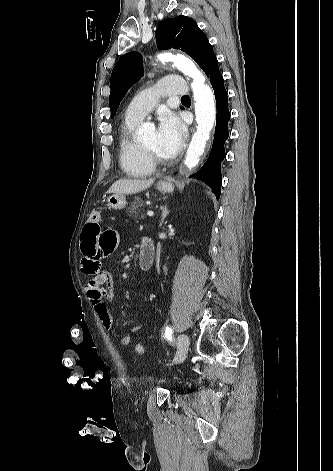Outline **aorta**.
<instances>
[{"label": "aorta", "mask_w": 333, "mask_h": 471, "mask_svg": "<svg viewBox=\"0 0 333 471\" xmlns=\"http://www.w3.org/2000/svg\"><path fill=\"white\" fill-rule=\"evenodd\" d=\"M158 59L161 62H173L179 71L192 79L191 88L194 94L197 130L192 137L184 160V164L191 169L198 164L200 157L203 155L215 122L216 108L214 95L210 87L205 84L203 74L189 58L163 53L158 56ZM150 127L151 124L149 123L143 124L139 134L145 135Z\"/></svg>", "instance_id": "aorta-1"}]
</instances>
